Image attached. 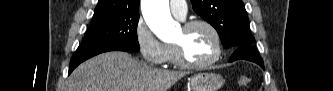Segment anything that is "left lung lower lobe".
Segmentation results:
<instances>
[{
    "mask_svg": "<svg viewBox=\"0 0 333 91\" xmlns=\"http://www.w3.org/2000/svg\"><path fill=\"white\" fill-rule=\"evenodd\" d=\"M233 54L230 58V62L235 60L243 59L255 62L259 64L264 69V64L262 58L259 56L257 50L252 45H242L233 49Z\"/></svg>",
    "mask_w": 333,
    "mask_h": 91,
    "instance_id": "0a47b994",
    "label": "left lung lower lobe"
}]
</instances>
